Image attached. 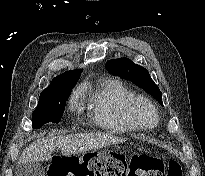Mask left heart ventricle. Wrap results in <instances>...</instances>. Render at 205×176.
I'll return each instance as SVG.
<instances>
[{
    "label": "left heart ventricle",
    "instance_id": "1",
    "mask_svg": "<svg viewBox=\"0 0 205 176\" xmlns=\"http://www.w3.org/2000/svg\"><path fill=\"white\" fill-rule=\"evenodd\" d=\"M138 118L139 120L146 125L153 124L155 122L154 113L146 106L142 105L138 110Z\"/></svg>",
    "mask_w": 205,
    "mask_h": 176
}]
</instances>
